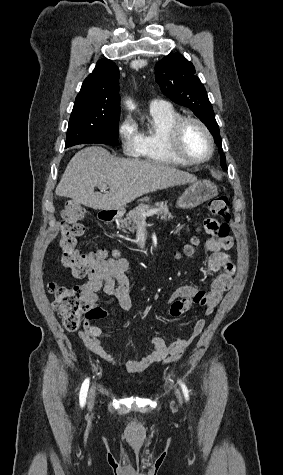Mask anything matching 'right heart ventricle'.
Instances as JSON below:
<instances>
[{
  "mask_svg": "<svg viewBox=\"0 0 283 475\" xmlns=\"http://www.w3.org/2000/svg\"><path fill=\"white\" fill-rule=\"evenodd\" d=\"M180 117L181 114L170 104L149 107L148 121L136 128L142 143L140 158L145 161L165 162L159 153L158 145L166 137L168 127Z\"/></svg>",
  "mask_w": 283,
  "mask_h": 475,
  "instance_id": "obj_1",
  "label": "right heart ventricle"
}]
</instances>
